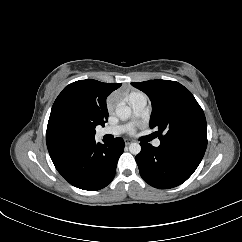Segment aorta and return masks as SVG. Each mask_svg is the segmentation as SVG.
<instances>
[{
    "mask_svg": "<svg viewBox=\"0 0 242 242\" xmlns=\"http://www.w3.org/2000/svg\"><path fill=\"white\" fill-rule=\"evenodd\" d=\"M116 115L123 121L128 120L131 116V109L128 106H119L116 108ZM129 151L133 155H137L141 151V146L139 143H131L129 146Z\"/></svg>",
    "mask_w": 242,
    "mask_h": 242,
    "instance_id": "aorta-1",
    "label": "aorta"
}]
</instances>
